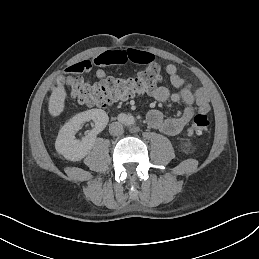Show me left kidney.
Returning a JSON list of instances; mask_svg holds the SVG:
<instances>
[{
	"label": "left kidney",
	"instance_id": "obj_1",
	"mask_svg": "<svg viewBox=\"0 0 259 259\" xmlns=\"http://www.w3.org/2000/svg\"><path fill=\"white\" fill-rule=\"evenodd\" d=\"M191 148L190 142H182L180 143V149L182 152H187Z\"/></svg>",
	"mask_w": 259,
	"mask_h": 259
}]
</instances>
